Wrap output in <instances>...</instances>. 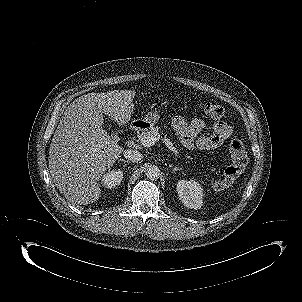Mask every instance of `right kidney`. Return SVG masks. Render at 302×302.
Returning <instances> with one entry per match:
<instances>
[{
  "label": "right kidney",
  "instance_id": "1",
  "mask_svg": "<svg viewBox=\"0 0 302 302\" xmlns=\"http://www.w3.org/2000/svg\"><path fill=\"white\" fill-rule=\"evenodd\" d=\"M123 179V172L118 171H112L106 175L103 176L102 183L105 188H114L115 186L119 185Z\"/></svg>",
  "mask_w": 302,
  "mask_h": 302
}]
</instances>
